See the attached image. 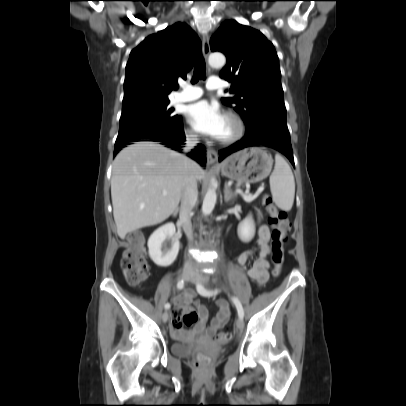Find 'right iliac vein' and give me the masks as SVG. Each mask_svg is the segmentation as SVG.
Returning <instances> with one entry per match:
<instances>
[{
    "instance_id": "63e3f726",
    "label": "right iliac vein",
    "mask_w": 406,
    "mask_h": 406,
    "mask_svg": "<svg viewBox=\"0 0 406 406\" xmlns=\"http://www.w3.org/2000/svg\"><path fill=\"white\" fill-rule=\"evenodd\" d=\"M181 276H182V279H184V280H186V281L191 280L192 277H193V271H192V269L189 268V267L184 268L183 271H182V275H181ZM168 317H169V313H168L167 311H165V312L163 313V315H162V320H163V322H167Z\"/></svg>"
}]
</instances>
